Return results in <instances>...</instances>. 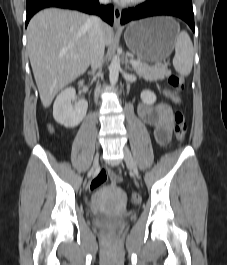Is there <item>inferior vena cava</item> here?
Listing matches in <instances>:
<instances>
[{"label": "inferior vena cava", "instance_id": "1", "mask_svg": "<svg viewBox=\"0 0 227 265\" xmlns=\"http://www.w3.org/2000/svg\"><path fill=\"white\" fill-rule=\"evenodd\" d=\"M101 4H108L109 0H99ZM91 32H90V43H91V56L90 63L92 71H96L101 67L103 63L105 43L102 34V20L98 16H91ZM99 89L95 91V100H97Z\"/></svg>", "mask_w": 227, "mask_h": 265}]
</instances>
